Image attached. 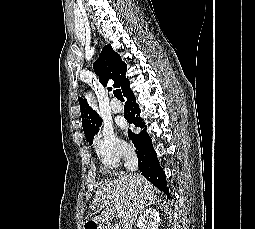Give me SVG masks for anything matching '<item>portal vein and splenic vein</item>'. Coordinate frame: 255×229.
Segmentation results:
<instances>
[{"label":"portal vein and splenic vein","instance_id":"obj_1","mask_svg":"<svg viewBox=\"0 0 255 229\" xmlns=\"http://www.w3.org/2000/svg\"><path fill=\"white\" fill-rule=\"evenodd\" d=\"M116 210H117V216H118L119 218H122V217H123V214H124V211L120 208L119 203L116 204Z\"/></svg>","mask_w":255,"mask_h":229}]
</instances>
